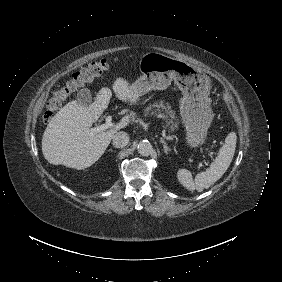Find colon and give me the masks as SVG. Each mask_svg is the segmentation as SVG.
<instances>
[{
    "label": "colon",
    "instance_id": "1",
    "mask_svg": "<svg viewBox=\"0 0 282 282\" xmlns=\"http://www.w3.org/2000/svg\"><path fill=\"white\" fill-rule=\"evenodd\" d=\"M109 68V61L106 58H97L93 60L86 68L75 73L72 78L60 88H57L54 94L49 98L42 114V122L48 124L66 98L76 89L82 87L87 82L101 76Z\"/></svg>",
    "mask_w": 282,
    "mask_h": 282
}]
</instances>
